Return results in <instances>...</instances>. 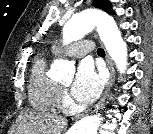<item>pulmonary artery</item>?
Returning <instances> with one entry per match:
<instances>
[{"instance_id": "e3ab8cb5", "label": "pulmonary artery", "mask_w": 153, "mask_h": 134, "mask_svg": "<svg viewBox=\"0 0 153 134\" xmlns=\"http://www.w3.org/2000/svg\"><path fill=\"white\" fill-rule=\"evenodd\" d=\"M92 43L88 40H82L79 42H76L74 44H72L70 47H68L65 50H61L58 47H54L53 50L55 53H66L68 55H71L73 57H83L85 56L87 53H89L92 50Z\"/></svg>"}]
</instances>
